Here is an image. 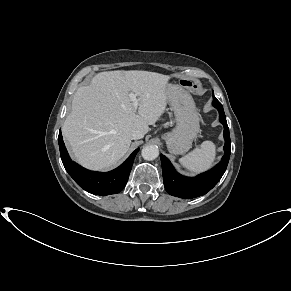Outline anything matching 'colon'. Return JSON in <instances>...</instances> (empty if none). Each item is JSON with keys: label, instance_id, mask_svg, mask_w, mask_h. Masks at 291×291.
Returning a JSON list of instances; mask_svg holds the SVG:
<instances>
[{"label": "colon", "instance_id": "obj_1", "mask_svg": "<svg viewBox=\"0 0 291 291\" xmlns=\"http://www.w3.org/2000/svg\"><path fill=\"white\" fill-rule=\"evenodd\" d=\"M183 83H184L185 85H188V84H189V81L184 80Z\"/></svg>", "mask_w": 291, "mask_h": 291}]
</instances>
